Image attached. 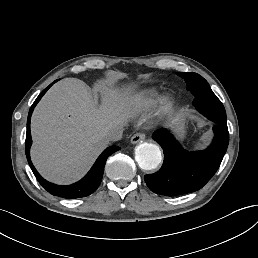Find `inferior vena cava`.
I'll list each match as a JSON object with an SVG mask.
<instances>
[{
  "label": "inferior vena cava",
  "mask_w": 258,
  "mask_h": 258,
  "mask_svg": "<svg viewBox=\"0 0 258 258\" xmlns=\"http://www.w3.org/2000/svg\"><path fill=\"white\" fill-rule=\"evenodd\" d=\"M122 134H123V128L116 127V128L110 129L106 136L109 141H118L122 138Z\"/></svg>",
  "instance_id": "602c4592"
}]
</instances>
